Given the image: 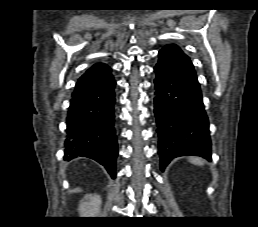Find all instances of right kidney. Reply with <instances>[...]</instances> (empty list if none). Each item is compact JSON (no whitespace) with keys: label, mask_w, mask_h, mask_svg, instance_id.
I'll list each match as a JSON object with an SVG mask.
<instances>
[{"label":"right kidney","mask_w":258,"mask_h":227,"mask_svg":"<svg viewBox=\"0 0 258 227\" xmlns=\"http://www.w3.org/2000/svg\"><path fill=\"white\" fill-rule=\"evenodd\" d=\"M101 203L98 194L86 195L79 204L80 217H97L100 213Z\"/></svg>","instance_id":"right-kidney-1"}]
</instances>
